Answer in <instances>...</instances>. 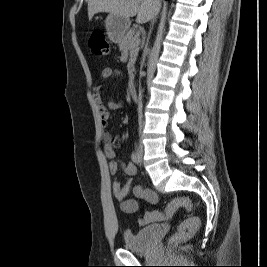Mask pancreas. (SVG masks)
Listing matches in <instances>:
<instances>
[{
	"mask_svg": "<svg viewBox=\"0 0 267 267\" xmlns=\"http://www.w3.org/2000/svg\"><path fill=\"white\" fill-rule=\"evenodd\" d=\"M134 35H135V29L131 28L119 42L120 51H129L130 53V62L127 66L130 75H132L134 62L139 50L138 45L140 42L139 39Z\"/></svg>",
	"mask_w": 267,
	"mask_h": 267,
	"instance_id": "cf45deb5",
	"label": "pancreas"
}]
</instances>
